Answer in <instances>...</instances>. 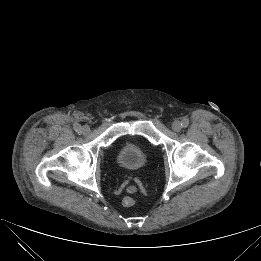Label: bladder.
<instances>
[{
  "label": "bladder",
  "instance_id": "obj_1",
  "mask_svg": "<svg viewBox=\"0 0 261 261\" xmlns=\"http://www.w3.org/2000/svg\"><path fill=\"white\" fill-rule=\"evenodd\" d=\"M148 155L149 150L144 142L127 138L119 144L117 162L123 168L136 170L145 164Z\"/></svg>",
  "mask_w": 261,
  "mask_h": 261
}]
</instances>
